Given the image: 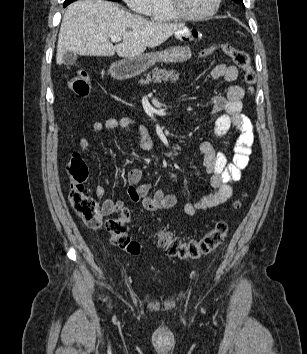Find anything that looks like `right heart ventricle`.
Returning <instances> with one entry per match:
<instances>
[{
	"mask_svg": "<svg viewBox=\"0 0 307 354\" xmlns=\"http://www.w3.org/2000/svg\"><path fill=\"white\" fill-rule=\"evenodd\" d=\"M146 15L154 22H171L177 18L170 11L167 0H153Z\"/></svg>",
	"mask_w": 307,
	"mask_h": 354,
	"instance_id": "1",
	"label": "right heart ventricle"
}]
</instances>
